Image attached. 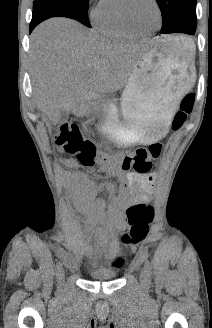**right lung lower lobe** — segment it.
I'll return each instance as SVG.
<instances>
[{"mask_svg": "<svg viewBox=\"0 0 212 328\" xmlns=\"http://www.w3.org/2000/svg\"><path fill=\"white\" fill-rule=\"evenodd\" d=\"M57 16L67 17L69 15L66 13H63V12H49V11H43V10L33 11L32 20L30 23V33L40 22H42L50 17H57Z\"/></svg>", "mask_w": 212, "mask_h": 328, "instance_id": "1", "label": "right lung lower lobe"}]
</instances>
